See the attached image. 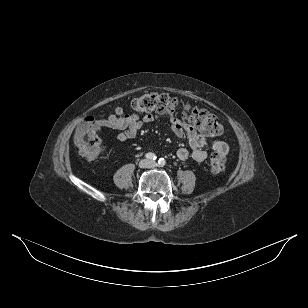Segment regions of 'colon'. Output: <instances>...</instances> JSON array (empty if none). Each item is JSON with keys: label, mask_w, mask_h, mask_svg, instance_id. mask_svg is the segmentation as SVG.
I'll return each mask as SVG.
<instances>
[{"label": "colon", "mask_w": 308, "mask_h": 308, "mask_svg": "<svg viewBox=\"0 0 308 308\" xmlns=\"http://www.w3.org/2000/svg\"><path fill=\"white\" fill-rule=\"evenodd\" d=\"M131 109L137 113L180 115L183 120L209 137L223 135L224 129L216 116L206 110L181 103L166 93H146L131 103ZM101 127L100 120L93 115H85L76 128L74 141L80 154L87 159H95L100 152L97 135ZM211 172L218 174L225 169L226 157L215 152L209 162Z\"/></svg>", "instance_id": "1"}]
</instances>
